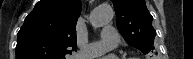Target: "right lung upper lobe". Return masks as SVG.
I'll use <instances>...</instances> for the list:
<instances>
[{"label": "right lung upper lobe", "mask_w": 193, "mask_h": 59, "mask_svg": "<svg viewBox=\"0 0 193 59\" xmlns=\"http://www.w3.org/2000/svg\"><path fill=\"white\" fill-rule=\"evenodd\" d=\"M79 0H41L18 32L16 59H65L76 45Z\"/></svg>", "instance_id": "obj_1"}]
</instances>
